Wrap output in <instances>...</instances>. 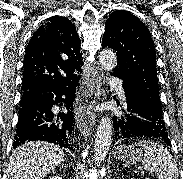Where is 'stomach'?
<instances>
[{
	"instance_id": "1",
	"label": "stomach",
	"mask_w": 183,
	"mask_h": 179,
	"mask_svg": "<svg viewBox=\"0 0 183 179\" xmlns=\"http://www.w3.org/2000/svg\"><path fill=\"white\" fill-rule=\"evenodd\" d=\"M115 157L123 161L126 165H133L142 160L143 153L140 148L120 145L115 150Z\"/></svg>"
}]
</instances>
